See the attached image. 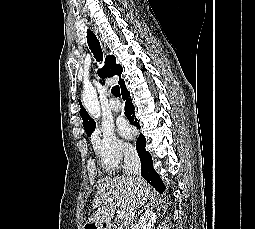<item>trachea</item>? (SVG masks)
<instances>
[{
	"instance_id": "obj_1",
	"label": "trachea",
	"mask_w": 255,
	"mask_h": 229,
	"mask_svg": "<svg viewBox=\"0 0 255 229\" xmlns=\"http://www.w3.org/2000/svg\"><path fill=\"white\" fill-rule=\"evenodd\" d=\"M87 42L88 46L91 49V52L94 54V57L96 58L97 61H102L103 59V52L101 49V45L99 40L97 39L96 35L88 29L87 31ZM111 93L115 97H120V88L118 85L112 87Z\"/></svg>"
}]
</instances>
